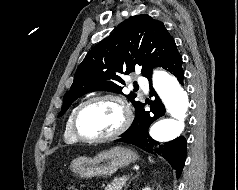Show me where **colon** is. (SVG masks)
<instances>
[{"mask_svg": "<svg viewBox=\"0 0 238 190\" xmlns=\"http://www.w3.org/2000/svg\"><path fill=\"white\" fill-rule=\"evenodd\" d=\"M68 190H77V189L74 187H70Z\"/></svg>", "mask_w": 238, "mask_h": 190, "instance_id": "1", "label": "colon"}]
</instances>
